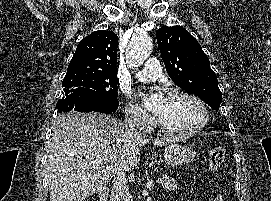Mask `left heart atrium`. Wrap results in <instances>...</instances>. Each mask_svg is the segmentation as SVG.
I'll list each match as a JSON object with an SVG mask.
<instances>
[{"instance_id":"39dd6f15","label":"left heart atrium","mask_w":271,"mask_h":201,"mask_svg":"<svg viewBox=\"0 0 271 201\" xmlns=\"http://www.w3.org/2000/svg\"><path fill=\"white\" fill-rule=\"evenodd\" d=\"M164 102L165 97L160 91L150 92L144 97L145 107L156 116H159L161 114Z\"/></svg>"}]
</instances>
